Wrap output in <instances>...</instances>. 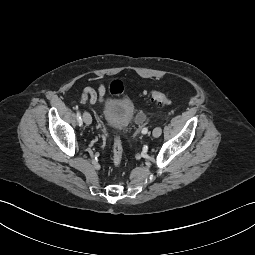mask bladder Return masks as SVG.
Listing matches in <instances>:
<instances>
[{
    "instance_id": "1",
    "label": "bladder",
    "mask_w": 255,
    "mask_h": 255,
    "mask_svg": "<svg viewBox=\"0 0 255 255\" xmlns=\"http://www.w3.org/2000/svg\"><path fill=\"white\" fill-rule=\"evenodd\" d=\"M102 114L110 128L125 130L134 120L135 107L128 97H111L104 102Z\"/></svg>"
}]
</instances>
